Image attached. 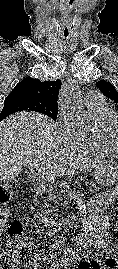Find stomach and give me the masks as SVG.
Returning a JSON list of instances; mask_svg holds the SVG:
<instances>
[{
    "label": "stomach",
    "mask_w": 118,
    "mask_h": 269,
    "mask_svg": "<svg viewBox=\"0 0 118 269\" xmlns=\"http://www.w3.org/2000/svg\"><path fill=\"white\" fill-rule=\"evenodd\" d=\"M94 176L100 185L111 187L118 179V171L109 164H100L94 170ZM118 194V187L116 188Z\"/></svg>",
    "instance_id": "stomach-1"
}]
</instances>
